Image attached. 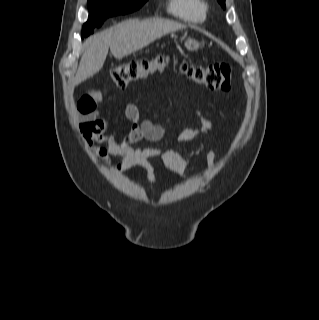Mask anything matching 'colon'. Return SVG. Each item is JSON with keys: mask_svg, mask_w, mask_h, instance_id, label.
Returning <instances> with one entry per match:
<instances>
[{"mask_svg": "<svg viewBox=\"0 0 319 320\" xmlns=\"http://www.w3.org/2000/svg\"><path fill=\"white\" fill-rule=\"evenodd\" d=\"M170 58L159 55L154 58H143L117 64L111 71V79L120 88H126L130 83L145 79L162 69ZM181 71L193 82L212 90H228L232 85V67L228 62L206 65H195L187 62L181 64ZM161 137L159 131L144 127L142 135L138 136L131 129L126 139L134 143L140 139L157 140Z\"/></svg>", "mask_w": 319, "mask_h": 320, "instance_id": "colon-1", "label": "colon"}]
</instances>
